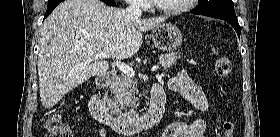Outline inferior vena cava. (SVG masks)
I'll return each instance as SVG.
<instances>
[{"label": "inferior vena cava", "instance_id": "obj_1", "mask_svg": "<svg viewBox=\"0 0 280 137\" xmlns=\"http://www.w3.org/2000/svg\"><path fill=\"white\" fill-rule=\"evenodd\" d=\"M126 11L134 17L140 18L142 15V11L140 9V6L137 2H132L129 7L126 8Z\"/></svg>", "mask_w": 280, "mask_h": 137}]
</instances>
